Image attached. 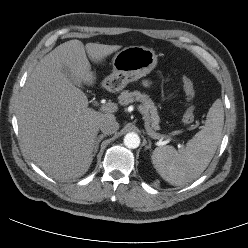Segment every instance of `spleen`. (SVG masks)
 Here are the masks:
<instances>
[{"label":"spleen","instance_id":"3e777b00","mask_svg":"<svg viewBox=\"0 0 248 248\" xmlns=\"http://www.w3.org/2000/svg\"><path fill=\"white\" fill-rule=\"evenodd\" d=\"M224 125L222 102L216 100L207 114L205 125L176 150L172 146L155 148L151 159L160 176L174 186H182L197 179L211 162L221 141Z\"/></svg>","mask_w":248,"mask_h":248}]
</instances>
